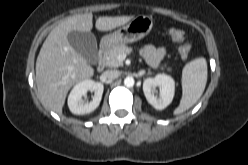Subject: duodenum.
Masks as SVG:
<instances>
[{"mask_svg":"<svg viewBox=\"0 0 248 165\" xmlns=\"http://www.w3.org/2000/svg\"><path fill=\"white\" fill-rule=\"evenodd\" d=\"M107 51H108L107 46H102L99 50V59L96 66V70L98 72H102L105 69Z\"/></svg>","mask_w":248,"mask_h":165,"instance_id":"duodenum-1","label":"duodenum"}]
</instances>
